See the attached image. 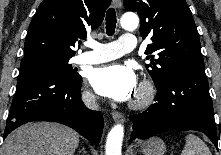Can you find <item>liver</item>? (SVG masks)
<instances>
[{
	"mask_svg": "<svg viewBox=\"0 0 221 155\" xmlns=\"http://www.w3.org/2000/svg\"><path fill=\"white\" fill-rule=\"evenodd\" d=\"M80 135L52 122L27 123L7 136L2 155H74Z\"/></svg>",
	"mask_w": 221,
	"mask_h": 155,
	"instance_id": "1",
	"label": "liver"
}]
</instances>
